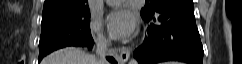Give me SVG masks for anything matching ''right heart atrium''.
Instances as JSON below:
<instances>
[{
  "label": "right heart atrium",
  "instance_id": "d8ad5b80",
  "mask_svg": "<svg viewBox=\"0 0 242 64\" xmlns=\"http://www.w3.org/2000/svg\"><path fill=\"white\" fill-rule=\"evenodd\" d=\"M91 28L95 32L97 40L99 42L103 43V42L106 41V37H105V35L103 33L102 24H101L100 20L92 19V21H91Z\"/></svg>",
  "mask_w": 242,
  "mask_h": 64
}]
</instances>
